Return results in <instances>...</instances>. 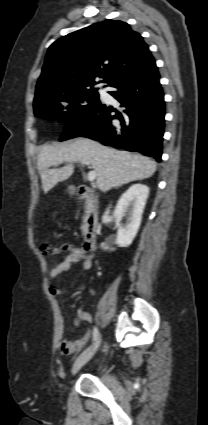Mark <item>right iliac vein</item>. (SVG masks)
<instances>
[{"label": "right iliac vein", "mask_w": 208, "mask_h": 425, "mask_svg": "<svg viewBox=\"0 0 208 425\" xmlns=\"http://www.w3.org/2000/svg\"><path fill=\"white\" fill-rule=\"evenodd\" d=\"M100 339L98 338L95 343L87 348L84 352H82L79 357L76 359L75 363L72 367V374H76L94 355Z\"/></svg>", "instance_id": "right-iliac-vein-1"}]
</instances>
